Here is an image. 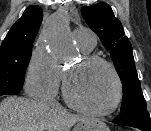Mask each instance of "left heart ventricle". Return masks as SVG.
<instances>
[{
  "label": "left heart ventricle",
  "instance_id": "left-heart-ventricle-1",
  "mask_svg": "<svg viewBox=\"0 0 151 131\" xmlns=\"http://www.w3.org/2000/svg\"><path fill=\"white\" fill-rule=\"evenodd\" d=\"M69 72V90L77 101L97 110L111 104L115 96V83L104 65H84L80 61Z\"/></svg>",
  "mask_w": 151,
  "mask_h": 131
}]
</instances>
